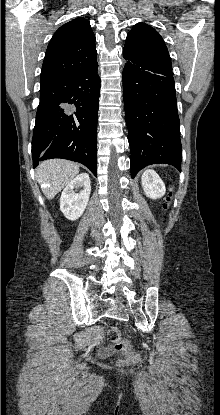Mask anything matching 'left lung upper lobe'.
<instances>
[{
  "label": "left lung upper lobe",
  "mask_w": 220,
  "mask_h": 415,
  "mask_svg": "<svg viewBox=\"0 0 220 415\" xmlns=\"http://www.w3.org/2000/svg\"><path fill=\"white\" fill-rule=\"evenodd\" d=\"M123 56L134 64L172 70L169 53L162 37L145 23L136 24L128 33Z\"/></svg>",
  "instance_id": "left-lung-upper-lobe-1"
}]
</instances>
